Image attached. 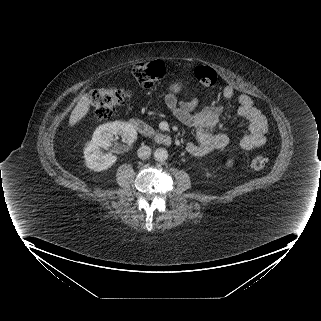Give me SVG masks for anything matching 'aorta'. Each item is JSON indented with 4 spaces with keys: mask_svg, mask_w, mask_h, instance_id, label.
Wrapping results in <instances>:
<instances>
[{
    "mask_svg": "<svg viewBox=\"0 0 321 321\" xmlns=\"http://www.w3.org/2000/svg\"><path fill=\"white\" fill-rule=\"evenodd\" d=\"M156 161L164 162L168 159V151L165 148H157L154 152Z\"/></svg>",
    "mask_w": 321,
    "mask_h": 321,
    "instance_id": "1",
    "label": "aorta"
}]
</instances>
